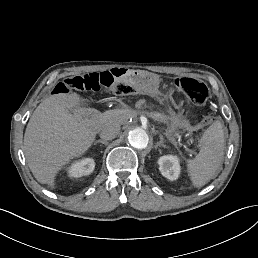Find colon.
Instances as JSON below:
<instances>
[{
    "instance_id": "obj_1",
    "label": "colon",
    "mask_w": 258,
    "mask_h": 258,
    "mask_svg": "<svg viewBox=\"0 0 258 258\" xmlns=\"http://www.w3.org/2000/svg\"><path fill=\"white\" fill-rule=\"evenodd\" d=\"M175 86L183 91L195 104H204L209 97L208 87L201 81L191 77H180L175 80ZM70 90L111 92L115 95L125 96L140 93L138 85L133 82H115L107 76V72L89 73L80 76L66 78L59 82L55 88V94H66ZM214 116L203 118V124L218 122Z\"/></svg>"
}]
</instances>
